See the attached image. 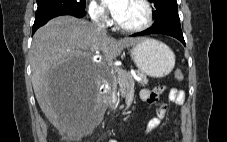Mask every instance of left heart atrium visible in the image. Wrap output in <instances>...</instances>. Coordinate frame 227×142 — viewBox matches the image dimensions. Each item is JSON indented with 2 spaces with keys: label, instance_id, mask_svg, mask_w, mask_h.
I'll use <instances>...</instances> for the list:
<instances>
[{
  "label": "left heart atrium",
  "instance_id": "39dd6f15",
  "mask_svg": "<svg viewBox=\"0 0 227 142\" xmlns=\"http://www.w3.org/2000/svg\"><path fill=\"white\" fill-rule=\"evenodd\" d=\"M126 2L127 0H102V3L115 19L119 18L122 14Z\"/></svg>",
  "mask_w": 227,
  "mask_h": 142
}]
</instances>
